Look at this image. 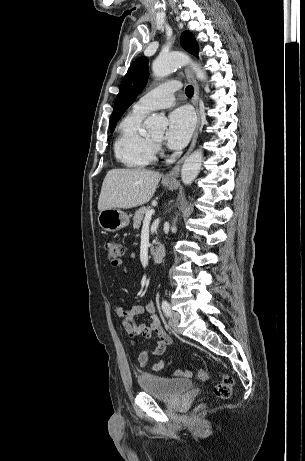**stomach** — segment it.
<instances>
[{
	"label": "stomach",
	"instance_id": "0dacf381",
	"mask_svg": "<svg viewBox=\"0 0 305 461\" xmlns=\"http://www.w3.org/2000/svg\"><path fill=\"white\" fill-rule=\"evenodd\" d=\"M167 187L172 186V183L163 182ZM99 226L107 232H116L125 228L130 223V217L127 213L118 208H112L100 211L98 215Z\"/></svg>",
	"mask_w": 305,
	"mask_h": 461
}]
</instances>
